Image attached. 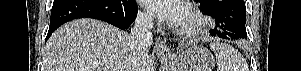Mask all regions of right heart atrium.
Masks as SVG:
<instances>
[{
    "mask_svg": "<svg viewBox=\"0 0 301 71\" xmlns=\"http://www.w3.org/2000/svg\"><path fill=\"white\" fill-rule=\"evenodd\" d=\"M140 21L144 26L149 27L151 24V17L147 13H142L140 15Z\"/></svg>",
    "mask_w": 301,
    "mask_h": 71,
    "instance_id": "obj_1",
    "label": "right heart atrium"
}]
</instances>
